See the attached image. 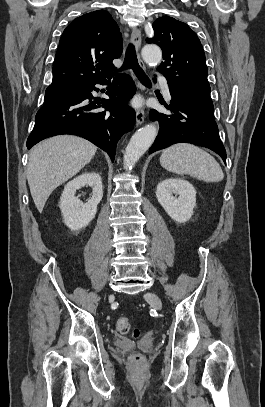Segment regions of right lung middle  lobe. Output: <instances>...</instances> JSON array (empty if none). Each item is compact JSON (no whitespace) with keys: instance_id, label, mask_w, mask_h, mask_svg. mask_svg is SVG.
<instances>
[{"instance_id":"obj_1","label":"right lung middle lobe","mask_w":265,"mask_h":407,"mask_svg":"<svg viewBox=\"0 0 265 407\" xmlns=\"http://www.w3.org/2000/svg\"><path fill=\"white\" fill-rule=\"evenodd\" d=\"M80 85L57 84L50 85L45 91L44 103L69 97L79 89Z\"/></svg>"}]
</instances>
